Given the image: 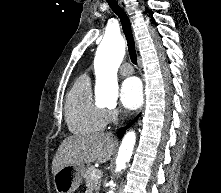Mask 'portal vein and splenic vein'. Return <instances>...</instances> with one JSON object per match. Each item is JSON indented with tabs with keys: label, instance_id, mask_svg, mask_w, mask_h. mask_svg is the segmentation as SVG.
<instances>
[{
	"label": "portal vein and splenic vein",
	"instance_id": "obj_1",
	"mask_svg": "<svg viewBox=\"0 0 221 193\" xmlns=\"http://www.w3.org/2000/svg\"><path fill=\"white\" fill-rule=\"evenodd\" d=\"M100 175H101V170L96 169L95 171H93L91 177H92V178H97V177H99Z\"/></svg>",
	"mask_w": 221,
	"mask_h": 193
}]
</instances>
